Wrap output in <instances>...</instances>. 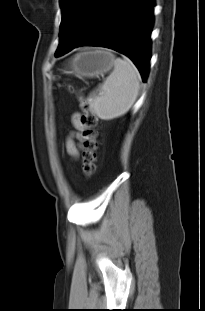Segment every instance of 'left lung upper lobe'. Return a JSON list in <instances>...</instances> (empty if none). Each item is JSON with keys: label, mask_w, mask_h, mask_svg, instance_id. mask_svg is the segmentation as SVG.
<instances>
[{"label": "left lung upper lobe", "mask_w": 205, "mask_h": 311, "mask_svg": "<svg viewBox=\"0 0 205 311\" xmlns=\"http://www.w3.org/2000/svg\"><path fill=\"white\" fill-rule=\"evenodd\" d=\"M115 0H60L62 21L55 54L68 51L105 17Z\"/></svg>", "instance_id": "5c2ea615"}]
</instances>
